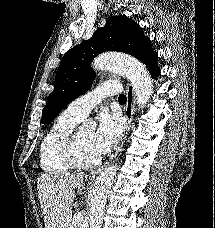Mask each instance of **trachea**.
<instances>
[{"instance_id": "3493384b", "label": "trachea", "mask_w": 215, "mask_h": 228, "mask_svg": "<svg viewBox=\"0 0 215 228\" xmlns=\"http://www.w3.org/2000/svg\"><path fill=\"white\" fill-rule=\"evenodd\" d=\"M119 102L120 103H126V96L123 94L119 95Z\"/></svg>"}]
</instances>
